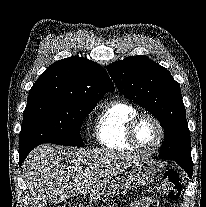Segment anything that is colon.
<instances>
[{"instance_id":"5ec220e1","label":"colon","mask_w":206,"mask_h":207,"mask_svg":"<svg viewBox=\"0 0 206 207\" xmlns=\"http://www.w3.org/2000/svg\"><path fill=\"white\" fill-rule=\"evenodd\" d=\"M157 191L169 200H177L181 194V183L177 171L169 169L163 172L157 184ZM68 207V206H63ZM150 207H159L158 203L153 201Z\"/></svg>"}]
</instances>
